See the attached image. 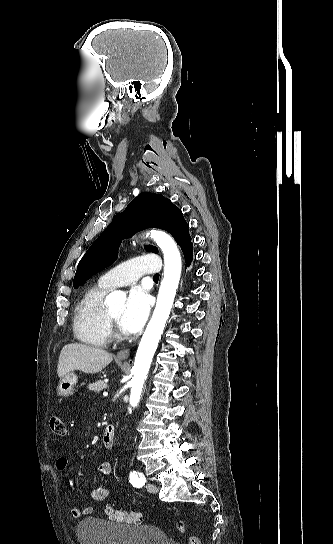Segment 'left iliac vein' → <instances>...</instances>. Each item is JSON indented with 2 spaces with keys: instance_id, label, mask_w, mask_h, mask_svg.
Listing matches in <instances>:
<instances>
[{
  "instance_id": "1",
  "label": "left iliac vein",
  "mask_w": 333,
  "mask_h": 544,
  "mask_svg": "<svg viewBox=\"0 0 333 544\" xmlns=\"http://www.w3.org/2000/svg\"><path fill=\"white\" fill-rule=\"evenodd\" d=\"M146 489H147V491L150 492V493H157V492H158L157 486L154 485V484H152V483H148V484L146 485Z\"/></svg>"
}]
</instances>
